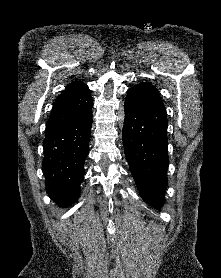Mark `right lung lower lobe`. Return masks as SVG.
Listing matches in <instances>:
<instances>
[{
    "label": "right lung lower lobe",
    "mask_w": 221,
    "mask_h": 278,
    "mask_svg": "<svg viewBox=\"0 0 221 278\" xmlns=\"http://www.w3.org/2000/svg\"><path fill=\"white\" fill-rule=\"evenodd\" d=\"M92 106L76 120L46 135L43 142L46 191L61 207L74 203L80 195L83 165L88 155Z\"/></svg>",
    "instance_id": "98d812e1"
}]
</instances>
